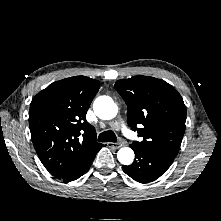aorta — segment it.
Segmentation results:
<instances>
[{"mask_svg":"<svg viewBox=\"0 0 221 221\" xmlns=\"http://www.w3.org/2000/svg\"><path fill=\"white\" fill-rule=\"evenodd\" d=\"M95 114L103 120L113 119L118 113V106L109 96H99L93 103ZM118 161L123 165H130L134 160V152L129 147L121 148L117 153Z\"/></svg>","mask_w":221,"mask_h":221,"instance_id":"obj_1","label":"aorta"}]
</instances>
